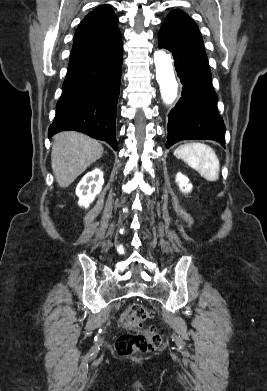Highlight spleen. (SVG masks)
Here are the masks:
<instances>
[{
	"label": "spleen",
	"mask_w": 267,
	"mask_h": 391,
	"mask_svg": "<svg viewBox=\"0 0 267 391\" xmlns=\"http://www.w3.org/2000/svg\"><path fill=\"white\" fill-rule=\"evenodd\" d=\"M174 155L199 172L207 181L218 180L220 163L210 146L202 143H188L175 149Z\"/></svg>",
	"instance_id": "1"
}]
</instances>
